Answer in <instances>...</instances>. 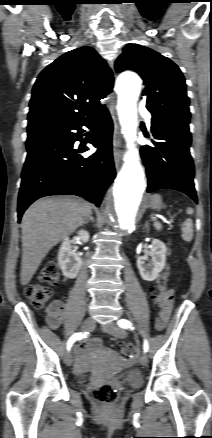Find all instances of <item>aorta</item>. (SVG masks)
Segmentation results:
<instances>
[{
  "mask_svg": "<svg viewBox=\"0 0 212 438\" xmlns=\"http://www.w3.org/2000/svg\"><path fill=\"white\" fill-rule=\"evenodd\" d=\"M141 90V79L134 73L122 74L117 81L118 115L127 141L128 152L113 188L111 211L120 233L131 232L139 213L145 190V175L134 144L137 128L136 103Z\"/></svg>",
  "mask_w": 212,
  "mask_h": 438,
  "instance_id": "aorta-1",
  "label": "aorta"
}]
</instances>
